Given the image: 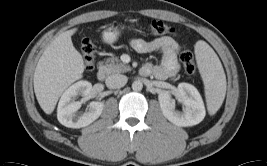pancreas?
Here are the masks:
<instances>
[{"instance_id":"pancreas-1","label":"pancreas","mask_w":267,"mask_h":166,"mask_svg":"<svg viewBox=\"0 0 267 166\" xmlns=\"http://www.w3.org/2000/svg\"><path fill=\"white\" fill-rule=\"evenodd\" d=\"M102 68L106 74L124 73L131 70V67L121 62L118 57L107 58Z\"/></svg>"}]
</instances>
